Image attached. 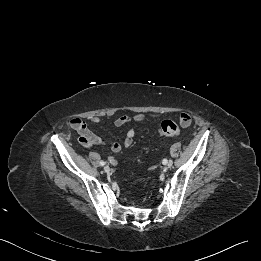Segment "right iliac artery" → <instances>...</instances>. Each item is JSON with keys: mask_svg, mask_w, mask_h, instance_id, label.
<instances>
[{"mask_svg": "<svg viewBox=\"0 0 261 261\" xmlns=\"http://www.w3.org/2000/svg\"><path fill=\"white\" fill-rule=\"evenodd\" d=\"M106 163L104 161H100V165L104 166Z\"/></svg>", "mask_w": 261, "mask_h": 261, "instance_id": "obj_1", "label": "right iliac artery"}]
</instances>
